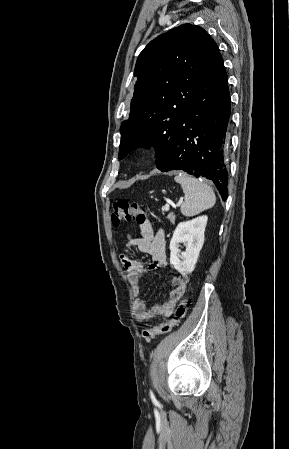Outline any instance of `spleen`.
<instances>
[{
	"label": "spleen",
	"mask_w": 289,
	"mask_h": 449,
	"mask_svg": "<svg viewBox=\"0 0 289 449\" xmlns=\"http://www.w3.org/2000/svg\"><path fill=\"white\" fill-rule=\"evenodd\" d=\"M174 179L181 185L185 194L180 209L184 216H195L214 206L216 196L210 186L184 173H179Z\"/></svg>",
	"instance_id": "obj_1"
}]
</instances>
